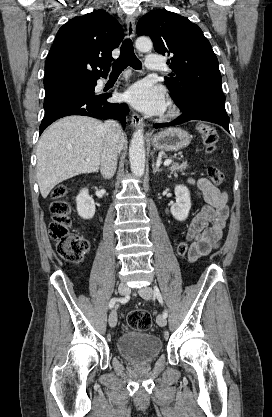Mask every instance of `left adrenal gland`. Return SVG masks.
<instances>
[{
	"label": "left adrenal gland",
	"instance_id": "a2214340",
	"mask_svg": "<svg viewBox=\"0 0 272 417\" xmlns=\"http://www.w3.org/2000/svg\"><path fill=\"white\" fill-rule=\"evenodd\" d=\"M152 169H153V174H155L156 172H161L162 171V169H160L159 167H157L155 165V162L154 161L152 163Z\"/></svg>",
	"mask_w": 272,
	"mask_h": 417
}]
</instances>
